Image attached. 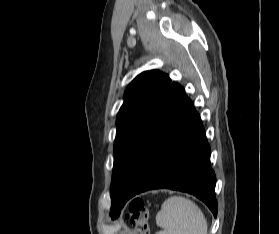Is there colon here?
<instances>
[{
	"label": "colon",
	"mask_w": 279,
	"mask_h": 234,
	"mask_svg": "<svg viewBox=\"0 0 279 234\" xmlns=\"http://www.w3.org/2000/svg\"><path fill=\"white\" fill-rule=\"evenodd\" d=\"M127 218L135 231L147 234L148 208L141 198H134L130 201Z\"/></svg>",
	"instance_id": "1"
}]
</instances>
